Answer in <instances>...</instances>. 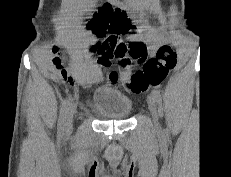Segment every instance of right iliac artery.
Wrapping results in <instances>:
<instances>
[{"mask_svg":"<svg viewBox=\"0 0 231 177\" xmlns=\"http://www.w3.org/2000/svg\"><path fill=\"white\" fill-rule=\"evenodd\" d=\"M69 103H70L69 99L66 98L63 101L62 106H61L59 122H58V130L60 133L64 131L65 122H66V114H67Z\"/></svg>","mask_w":231,"mask_h":177,"instance_id":"obj_1","label":"right iliac artery"}]
</instances>
